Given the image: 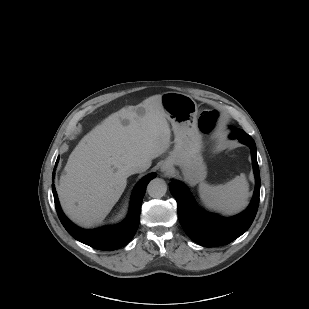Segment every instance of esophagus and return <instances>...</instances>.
Here are the masks:
<instances>
[{
  "mask_svg": "<svg viewBox=\"0 0 309 309\" xmlns=\"http://www.w3.org/2000/svg\"><path fill=\"white\" fill-rule=\"evenodd\" d=\"M171 169V165L169 163H164L161 165L160 170L163 173H168Z\"/></svg>",
  "mask_w": 309,
  "mask_h": 309,
  "instance_id": "1",
  "label": "esophagus"
}]
</instances>
